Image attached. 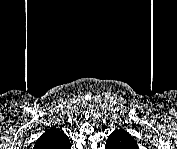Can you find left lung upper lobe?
Listing matches in <instances>:
<instances>
[{
	"label": "left lung upper lobe",
	"mask_w": 177,
	"mask_h": 149,
	"mask_svg": "<svg viewBox=\"0 0 177 149\" xmlns=\"http://www.w3.org/2000/svg\"><path fill=\"white\" fill-rule=\"evenodd\" d=\"M116 134H123L124 135V138L127 139V141L125 142V145H126V149H134V148H138L137 147V144L134 140V138H132L130 136V134H128L127 132H125L124 130H118V131H115L113 132L112 134H110L109 136H112V135H116ZM129 147V148H128Z\"/></svg>",
	"instance_id": "5c2ea615"
}]
</instances>
